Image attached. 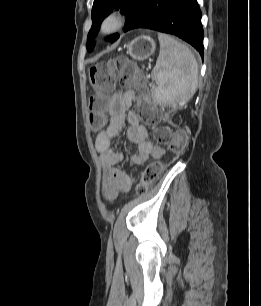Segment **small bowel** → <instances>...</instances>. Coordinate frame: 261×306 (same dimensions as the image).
Instances as JSON below:
<instances>
[{
	"instance_id": "c3829d8e",
	"label": "small bowel",
	"mask_w": 261,
	"mask_h": 306,
	"mask_svg": "<svg viewBox=\"0 0 261 306\" xmlns=\"http://www.w3.org/2000/svg\"><path fill=\"white\" fill-rule=\"evenodd\" d=\"M132 104L133 98L130 93L113 94L108 105L109 124L96 139V148L105 169L104 192L110 199L116 197L119 191H128L135 182V177L127 170L117 168L124 160V153L113 146V139L119 134L125 122L128 124L126 136L137 148L136 153L131 156V165H140L150 157H160L164 153L161 147L153 145L148 140V128L140 123L135 112L129 110Z\"/></svg>"
}]
</instances>
